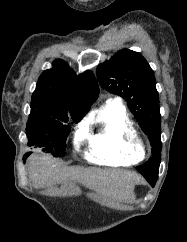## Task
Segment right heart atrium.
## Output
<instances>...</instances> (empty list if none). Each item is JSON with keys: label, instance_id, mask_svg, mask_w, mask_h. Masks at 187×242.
Here are the masks:
<instances>
[{"label": "right heart atrium", "instance_id": "obj_1", "mask_svg": "<svg viewBox=\"0 0 187 242\" xmlns=\"http://www.w3.org/2000/svg\"><path fill=\"white\" fill-rule=\"evenodd\" d=\"M87 135V127L85 124H80L75 133V144H79Z\"/></svg>", "mask_w": 187, "mask_h": 242}]
</instances>
